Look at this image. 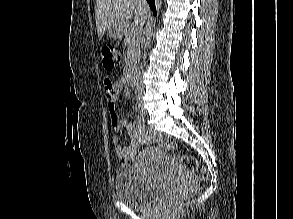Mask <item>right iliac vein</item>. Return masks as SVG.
I'll return each instance as SVG.
<instances>
[{
  "label": "right iliac vein",
  "mask_w": 293,
  "mask_h": 219,
  "mask_svg": "<svg viewBox=\"0 0 293 219\" xmlns=\"http://www.w3.org/2000/svg\"><path fill=\"white\" fill-rule=\"evenodd\" d=\"M138 106H139L141 115L142 116H145L146 115V109L144 108L143 103L142 102H139Z\"/></svg>",
  "instance_id": "right-iliac-vein-1"
}]
</instances>
